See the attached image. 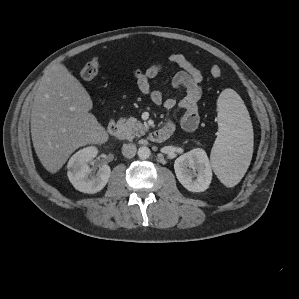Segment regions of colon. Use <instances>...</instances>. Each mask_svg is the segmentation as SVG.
Returning <instances> with one entry per match:
<instances>
[{"mask_svg": "<svg viewBox=\"0 0 299 299\" xmlns=\"http://www.w3.org/2000/svg\"><path fill=\"white\" fill-rule=\"evenodd\" d=\"M100 69V61L97 58L89 60L81 69V77L84 80H92L98 74ZM213 77L218 78L222 74V70L218 65H214L210 69Z\"/></svg>", "mask_w": 299, "mask_h": 299, "instance_id": "1", "label": "colon"}]
</instances>
